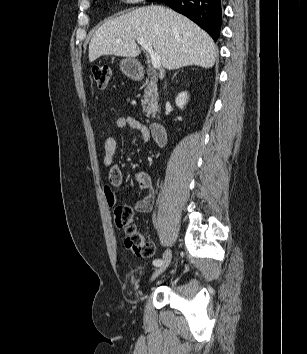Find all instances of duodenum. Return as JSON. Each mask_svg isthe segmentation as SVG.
Returning <instances> with one entry per match:
<instances>
[{
    "label": "duodenum",
    "mask_w": 307,
    "mask_h": 354,
    "mask_svg": "<svg viewBox=\"0 0 307 354\" xmlns=\"http://www.w3.org/2000/svg\"><path fill=\"white\" fill-rule=\"evenodd\" d=\"M149 129L153 140L159 146H163L167 142V130L165 126L158 122H153L149 125Z\"/></svg>",
    "instance_id": "obj_1"
}]
</instances>
